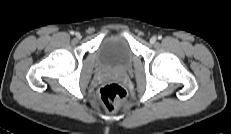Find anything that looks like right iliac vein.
Returning <instances> with one entry per match:
<instances>
[{
    "instance_id": "obj_1",
    "label": "right iliac vein",
    "mask_w": 231,
    "mask_h": 134,
    "mask_svg": "<svg viewBox=\"0 0 231 134\" xmlns=\"http://www.w3.org/2000/svg\"><path fill=\"white\" fill-rule=\"evenodd\" d=\"M75 35H76V37H77L78 39L81 38V34H80V33L77 32Z\"/></svg>"
}]
</instances>
